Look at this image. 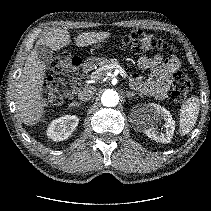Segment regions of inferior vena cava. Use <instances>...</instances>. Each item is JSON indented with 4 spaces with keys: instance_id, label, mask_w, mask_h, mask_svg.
Returning a JSON list of instances; mask_svg holds the SVG:
<instances>
[{
    "instance_id": "1",
    "label": "inferior vena cava",
    "mask_w": 211,
    "mask_h": 211,
    "mask_svg": "<svg viewBox=\"0 0 211 211\" xmlns=\"http://www.w3.org/2000/svg\"><path fill=\"white\" fill-rule=\"evenodd\" d=\"M96 92V88L93 86H86L78 93V98L82 101H89Z\"/></svg>"
}]
</instances>
